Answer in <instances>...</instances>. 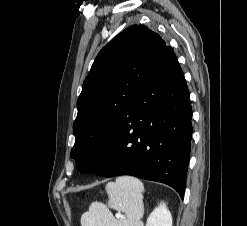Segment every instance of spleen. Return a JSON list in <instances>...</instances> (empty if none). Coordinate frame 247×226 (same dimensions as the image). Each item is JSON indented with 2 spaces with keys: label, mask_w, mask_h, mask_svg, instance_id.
Returning a JSON list of instances; mask_svg holds the SVG:
<instances>
[{
  "label": "spleen",
  "mask_w": 247,
  "mask_h": 226,
  "mask_svg": "<svg viewBox=\"0 0 247 226\" xmlns=\"http://www.w3.org/2000/svg\"><path fill=\"white\" fill-rule=\"evenodd\" d=\"M108 205L93 202L89 211L81 216L82 226H143L144 212L143 183L131 176L117 177L106 185ZM109 208L120 211L124 216L116 220Z\"/></svg>",
  "instance_id": "spleen-1"
}]
</instances>
